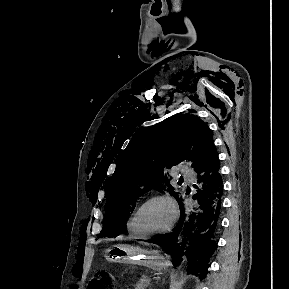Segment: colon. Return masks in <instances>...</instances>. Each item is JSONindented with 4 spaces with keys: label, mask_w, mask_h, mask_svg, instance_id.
<instances>
[{
    "label": "colon",
    "mask_w": 289,
    "mask_h": 289,
    "mask_svg": "<svg viewBox=\"0 0 289 289\" xmlns=\"http://www.w3.org/2000/svg\"><path fill=\"white\" fill-rule=\"evenodd\" d=\"M111 279L104 273L98 272L90 280L87 289H111Z\"/></svg>",
    "instance_id": "obj_1"
}]
</instances>
